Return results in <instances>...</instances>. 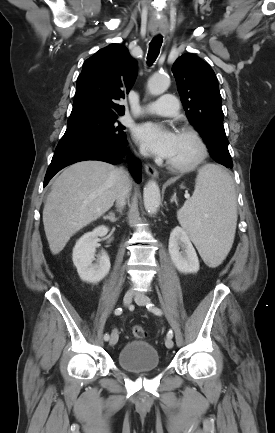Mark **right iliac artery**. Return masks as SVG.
Here are the masks:
<instances>
[{
	"label": "right iliac artery",
	"mask_w": 275,
	"mask_h": 433,
	"mask_svg": "<svg viewBox=\"0 0 275 433\" xmlns=\"http://www.w3.org/2000/svg\"><path fill=\"white\" fill-rule=\"evenodd\" d=\"M122 312H123V311H122V308H117V309H115V312H114V313H115V315H120V314H122ZM109 338H110V337H109V334L106 333V334L104 335V340H105V341H108Z\"/></svg>",
	"instance_id": "1"
}]
</instances>
